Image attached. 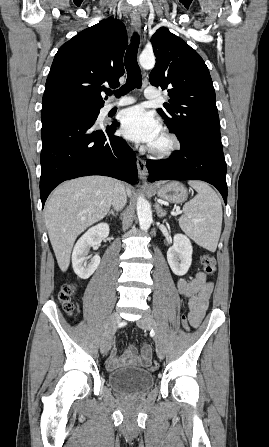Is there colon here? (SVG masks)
<instances>
[{"mask_svg": "<svg viewBox=\"0 0 269 447\" xmlns=\"http://www.w3.org/2000/svg\"><path fill=\"white\" fill-rule=\"evenodd\" d=\"M201 266H202L203 271L206 274L212 275L216 270L215 258L211 254H208V253L201 255ZM76 290H77V288L75 285L69 284V285L63 286L59 292V299L62 303L63 309L66 312L71 313V314L76 312V305L73 302V296H74ZM180 323H181V325L184 326L185 332H190V327L188 324L189 320H188L187 316L182 315ZM142 353L145 356H150L152 354V350L150 347H144L142 349ZM144 366L148 371H155L157 369L156 362H152V361L145 363Z\"/></svg>", "mask_w": 269, "mask_h": 447, "instance_id": "5ec220e1", "label": "colon"}]
</instances>
